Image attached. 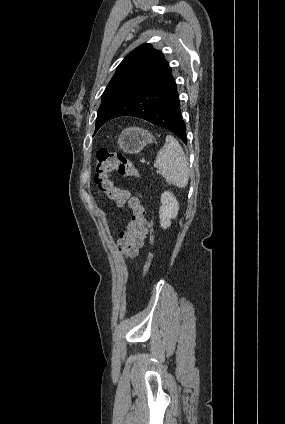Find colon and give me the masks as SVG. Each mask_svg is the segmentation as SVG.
Returning a JSON list of instances; mask_svg holds the SVG:
<instances>
[{"label":"colon","mask_w":285,"mask_h":424,"mask_svg":"<svg viewBox=\"0 0 285 424\" xmlns=\"http://www.w3.org/2000/svg\"><path fill=\"white\" fill-rule=\"evenodd\" d=\"M113 171L125 177H140L138 169L127 157L99 149L94 165V180L99 191L109 200L115 201L119 207L126 206L130 209L131 219L121 233L117 247L126 256L133 257L142 247L145 238L149 240L151 246L153 245V224L146 216L141 199L131 191L115 185L110 177ZM152 258L153 254L149 251L143 268L144 275L150 268Z\"/></svg>","instance_id":"colon-1"}]
</instances>
